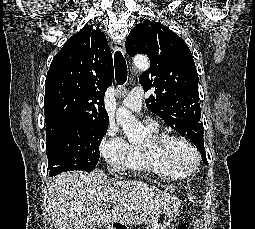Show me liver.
<instances>
[{
  "instance_id": "6515ba94",
  "label": "liver",
  "mask_w": 255,
  "mask_h": 229,
  "mask_svg": "<svg viewBox=\"0 0 255 229\" xmlns=\"http://www.w3.org/2000/svg\"><path fill=\"white\" fill-rule=\"evenodd\" d=\"M48 191L55 229H87L106 223L136 226L175 199L141 181L107 182L105 172L98 169L63 173L50 182Z\"/></svg>"
}]
</instances>
